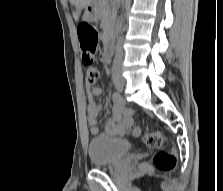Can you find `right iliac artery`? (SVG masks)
<instances>
[{
    "label": "right iliac artery",
    "mask_w": 223,
    "mask_h": 191,
    "mask_svg": "<svg viewBox=\"0 0 223 191\" xmlns=\"http://www.w3.org/2000/svg\"><path fill=\"white\" fill-rule=\"evenodd\" d=\"M113 99L117 101H121V95L118 92H114Z\"/></svg>",
    "instance_id": "right-iliac-artery-1"
}]
</instances>
